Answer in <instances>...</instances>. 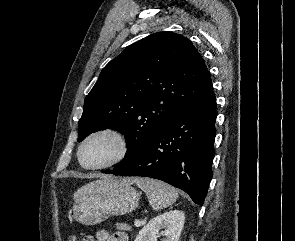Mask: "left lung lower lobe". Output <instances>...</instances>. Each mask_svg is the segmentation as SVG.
Returning <instances> with one entry per match:
<instances>
[{"label": "left lung lower lobe", "instance_id": "obj_1", "mask_svg": "<svg viewBox=\"0 0 295 241\" xmlns=\"http://www.w3.org/2000/svg\"><path fill=\"white\" fill-rule=\"evenodd\" d=\"M216 116L212 90L166 122L134 158L104 173L159 179L202 205L212 178Z\"/></svg>", "mask_w": 295, "mask_h": 241}]
</instances>
